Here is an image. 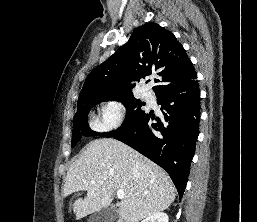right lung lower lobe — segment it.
I'll return each instance as SVG.
<instances>
[{
	"mask_svg": "<svg viewBox=\"0 0 257 222\" xmlns=\"http://www.w3.org/2000/svg\"><path fill=\"white\" fill-rule=\"evenodd\" d=\"M197 76L156 92L162 116L146 112L133 125L114 136L165 169L180 198L190 172L199 134L200 91ZM155 123H150V120Z\"/></svg>",
	"mask_w": 257,
	"mask_h": 222,
	"instance_id": "right-lung-lower-lobe-1",
	"label": "right lung lower lobe"
}]
</instances>
